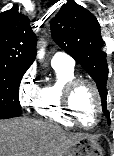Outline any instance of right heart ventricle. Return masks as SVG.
<instances>
[{"label":"right heart ventricle","mask_w":114,"mask_h":156,"mask_svg":"<svg viewBox=\"0 0 114 156\" xmlns=\"http://www.w3.org/2000/svg\"><path fill=\"white\" fill-rule=\"evenodd\" d=\"M55 79L39 88L38 96L33 104L40 117L60 124L73 127L74 121L68 116L63 107V92L66 84L76 78L74 68L53 66Z\"/></svg>","instance_id":"obj_1"}]
</instances>
